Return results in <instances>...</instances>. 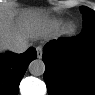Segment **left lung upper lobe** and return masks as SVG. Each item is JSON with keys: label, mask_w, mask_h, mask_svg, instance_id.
Listing matches in <instances>:
<instances>
[{"label": "left lung upper lobe", "mask_w": 95, "mask_h": 95, "mask_svg": "<svg viewBox=\"0 0 95 95\" xmlns=\"http://www.w3.org/2000/svg\"><path fill=\"white\" fill-rule=\"evenodd\" d=\"M80 10L83 14L84 30L95 28V11L86 6H81Z\"/></svg>", "instance_id": "obj_1"}]
</instances>
